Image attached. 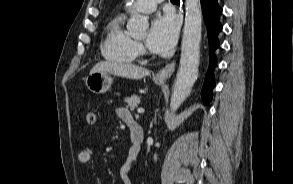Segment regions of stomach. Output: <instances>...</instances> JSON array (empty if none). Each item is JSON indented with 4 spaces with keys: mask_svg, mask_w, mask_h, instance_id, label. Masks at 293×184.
<instances>
[{
    "mask_svg": "<svg viewBox=\"0 0 293 184\" xmlns=\"http://www.w3.org/2000/svg\"><path fill=\"white\" fill-rule=\"evenodd\" d=\"M113 82L110 73L107 72H92L85 79V84L89 91L95 94H102L107 92ZM158 85L163 84L162 80H155Z\"/></svg>",
    "mask_w": 293,
    "mask_h": 184,
    "instance_id": "0dacf381",
    "label": "stomach"
}]
</instances>
